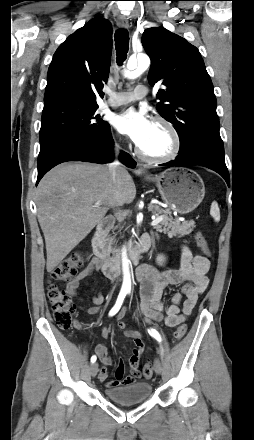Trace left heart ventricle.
Instances as JSON below:
<instances>
[{"instance_id":"1","label":"left heart ventricle","mask_w":254,"mask_h":440,"mask_svg":"<svg viewBox=\"0 0 254 440\" xmlns=\"http://www.w3.org/2000/svg\"><path fill=\"white\" fill-rule=\"evenodd\" d=\"M171 147L170 133L164 126L155 123L147 139L139 146L143 153L153 156L165 155L171 150Z\"/></svg>"}]
</instances>
